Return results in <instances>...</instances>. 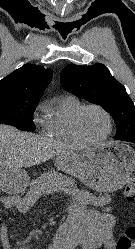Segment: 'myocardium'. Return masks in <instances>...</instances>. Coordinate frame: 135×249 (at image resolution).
Segmentation results:
<instances>
[{"label": "myocardium", "mask_w": 135, "mask_h": 249, "mask_svg": "<svg viewBox=\"0 0 135 249\" xmlns=\"http://www.w3.org/2000/svg\"><path fill=\"white\" fill-rule=\"evenodd\" d=\"M89 109H96L98 111H100L107 119L108 121V131L105 134V136L101 139L98 140H93L88 138L81 127V118L83 116V114L89 110ZM73 124H74V129L76 131V133L78 134V136L86 143V144H100L102 142H105L106 140H108L113 132V119L111 114L101 105L98 104H85L83 105L75 114L74 119H73Z\"/></svg>", "instance_id": "obj_1"}]
</instances>
